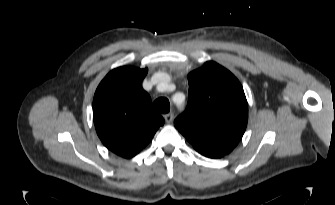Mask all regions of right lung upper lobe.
Returning <instances> with one entry per match:
<instances>
[{
    "mask_svg": "<svg viewBox=\"0 0 335 205\" xmlns=\"http://www.w3.org/2000/svg\"><path fill=\"white\" fill-rule=\"evenodd\" d=\"M147 72V68L118 67L106 75L94 95L96 132L109 150L124 158L139 153L164 124L142 88Z\"/></svg>",
    "mask_w": 335,
    "mask_h": 205,
    "instance_id": "1",
    "label": "right lung upper lobe"
}]
</instances>
